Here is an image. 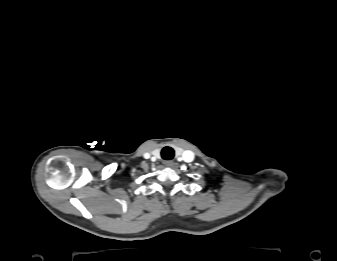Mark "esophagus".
I'll use <instances>...</instances> for the list:
<instances>
[{
  "label": "esophagus",
  "instance_id": "34e87169",
  "mask_svg": "<svg viewBox=\"0 0 337 261\" xmlns=\"http://www.w3.org/2000/svg\"><path fill=\"white\" fill-rule=\"evenodd\" d=\"M174 164V162L172 160H169V161H165L164 162V165L167 166V167H172Z\"/></svg>",
  "mask_w": 337,
  "mask_h": 261
}]
</instances>
